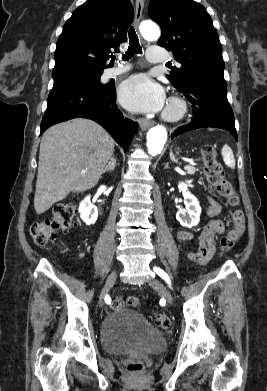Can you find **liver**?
<instances>
[{
  "mask_svg": "<svg viewBox=\"0 0 267 391\" xmlns=\"http://www.w3.org/2000/svg\"><path fill=\"white\" fill-rule=\"evenodd\" d=\"M114 146L113 138L92 120L77 118L49 128L40 143L36 213L46 212L70 192L93 188Z\"/></svg>",
  "mask_w": 267,
  "mask_h": 391,
  "instance_id": "6515ba94",
  "label": "liver"
}]
</instances>
